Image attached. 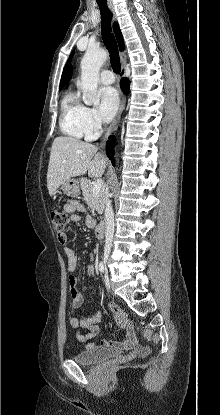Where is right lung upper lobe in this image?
Returning <instances> with one entry per match:
<instances>
[{
    "mask_svg": "<svg viewBox=\"0 0 220 415\" xmlns=\"http://www.w3.org/2000/svg\"><path fill=\"white\" fill-rule=\"evenodd\" d=\"M113 29H114V33L116 35V38L119 44V49L122 51L124 50V40H123V36L121 34V31L117 23H114ZM71 76H72V67L71 65L67 64L64 67V70L62 73V77L60 81V89L63 88L70 81Z\"/></svg>",
    "mask_w": 220,
    "mask_h": 415,
    "instance_id": "obj_1",
    "label": "right lung upper lobe"
}]
</instances>
